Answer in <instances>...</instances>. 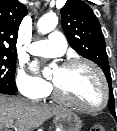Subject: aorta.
<instances>
[{
    "label": "aorta",
    "instance_id": "1",
    "mask_svg": "<svg viewBox=\"0 0 117 131\" xmlns=\"http://www.w3.org/2000/svg\"><path fill=\"white\" fill-rule=\"evenodd\" d=\"M57 24H58V18L55 14H52V13L46 14L42 16L37 23L38 31L42 34L49 33L55 29ZM49 71H50V68L46 67L43 70V74L47 75Z\"/></svg>",
    "mask_w": 117,
    "mask_h": 131
}]
</instances>
